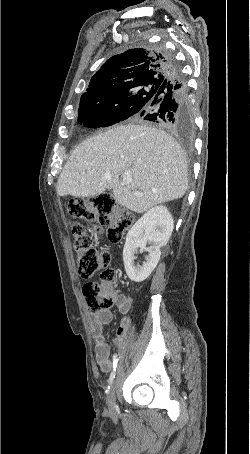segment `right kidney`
Segmentation results:
<instances>
[{
    "label": "right kidney",
    "mask_w": 250,
    "mask_h": 454,
    "mask_svg": "<svg viewBox=\"0 0 250 454\" xmlns=\"http://www.w3.org/2000/svg\"><path fill=\"white\" fill-rule=\"evenodd\" d=\"M173 228V217L165 206L149 209L132 226L123 248L124 267L130 280L142 282L149 277L160 260V248L167 244ZM147 243L151 244L150 248H146ZM138 248L141 252H149L142 266L134 264Z\"/></svg>",
    "instance_id": "obj_1"
}]
</instances>
